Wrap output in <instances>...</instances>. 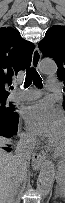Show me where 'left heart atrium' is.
<instances>
[{"label": "left heart atrium", "instance_id": "1", "mask_svg": "<svg viewBox=\"0 0 65 203\" xmlns=\"http://www.w3.org/2000/svg\"><path fill=\"white\" fill-rule=\"evenodd\" d=\"M28 128L36 135L47 138L51 143L64 130V117L47 100L27 107L23 113Z\"/></svg>", "mask_w": 65, "mask_h": 203}]
</instances>
